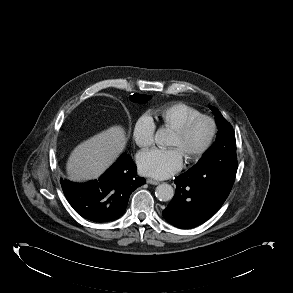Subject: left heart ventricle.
I'll return each instance as SVG.
<instances>
[{
  "label": "left heart ventricle",
  "instance_id": "left-heart-ventricle-1",
  "mask_svg": "<svg viewBox=\"0 0 293 293\" xmlns=\"http://www.w3.org/2000/svg\"><path fill=\"white\" fill-rule=\"evenodd\" d=\"M210 134V125L206 121L200 122L186 138L174 134L170 146L178 148L185 156L200 149Z\"/></svg>",
  "mask_w": 293,
  "mask_h": 293
}]
</instances>
